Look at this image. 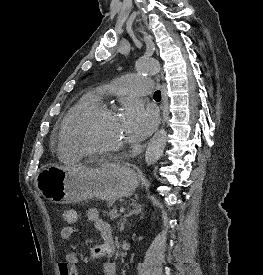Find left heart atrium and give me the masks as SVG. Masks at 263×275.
<instances>
[{
  "label": "left heart atrium",
  "instance_id": "39dd6f15",
  "mask_svg": "<svg viewBox=\"0 0 263 275\" xmlns=\"http://www.w3.org/2000/svg\"><path fill=\"white\" fill-rule=\"evenodd\" d=\"M122 126L131 142L143 140L155 125V116L138 102L126 106L121 117Z\"/></svg>",
  "mask_w": 263,
  "mask_h": 275
}]
</instances>
